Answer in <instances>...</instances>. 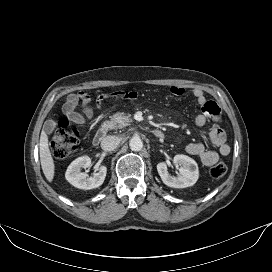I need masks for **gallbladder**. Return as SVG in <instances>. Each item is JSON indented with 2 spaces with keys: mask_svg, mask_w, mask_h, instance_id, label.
Masks as SVG:
<instances>
[{
  "mask_svg": "<svg viewBox=\"0 0 272 272\" xmlns=\"http://www.w3.org/2000/svg\"><path fill=\"white\" fill-rule=\"evenodd\" d=\"M54 129H55V123L53 121L49 120V121H46L44 123L43 130L47 134H52V132L54 131Z\"/></svg>",
  "mask_w": 272,
  "mask_h": 272,
  "instance_id": "obj_1",
  "label": "gallbladder"
}]
</instances>
